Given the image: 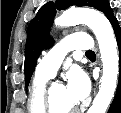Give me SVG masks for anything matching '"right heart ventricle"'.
I'll list each match as a JSON object with an SVG mask.
<instances>
[{"instance_id": "e07e8e85", "label": "right heart ventricle", "mask_w": 121, "mask_h": 113, "mask_svg": "<svg viewBox=\"0 0 121 113\" xmlns=\"http://www.w3.org/2000/svg\"><path fill=\"white\" fill-rule=\"evenodd\" d=\"M49 78V76L36 72L28 103V108L30 110H33L34 112H38V110H46L45 91L46 83Z\"/></svg>"}]
</instances>
